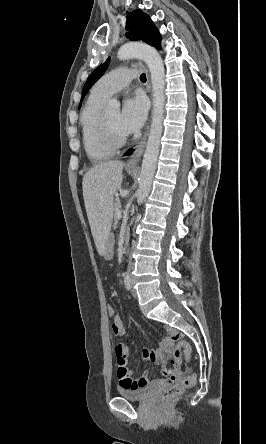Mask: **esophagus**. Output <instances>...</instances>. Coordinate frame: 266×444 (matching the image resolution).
I'll return each mask as SVG.
<instances>
[{
  "instance_id": "obj_1",
  "label": "esophagus",
  "mask_w": 266,
  "mask_h": 444,
  "mask_svg": "<svg viewBox=\"0 0 266 444\" xmlns=\"http://www.w3.org/2000/svg\"><path fill=\"white\" fill-rule=\"evenodd\" d=\"M148 132H149V123L144 131V134H143L141 140L137 143L133 154L131 155V157L129 158V160L126 163V165L128 167H137L138 166V164L141 160V157L143 155L144 149H145L146 140L148 137Z\"/></svg>"
}]
</instances>
